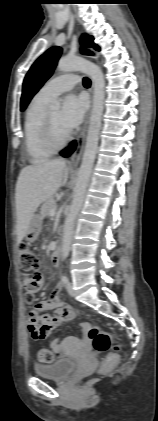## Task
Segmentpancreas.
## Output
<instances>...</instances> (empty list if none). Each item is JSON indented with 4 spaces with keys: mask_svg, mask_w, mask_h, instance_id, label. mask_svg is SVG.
Returning <instances> with one entry per match:
<instances>
[{
    "mask_svg": "<svg viewBox=\"0 0 158 421\" xmlns=\"http://www.w3.org/2000/svg\"><path fill=\"white\" fill-rule=\"evenodd\" d=\"M56 207H57V202L54 199V197L48 198L45 202H43V204L41 206L42 217L45 218L47 216H50V210L56 209Z\"/></svg>",
    "mask_w": 158,
    "mask_h": 421,
    "instance_id": "cf45deb5",
    "label": "pancreas"
}]
</instances>
